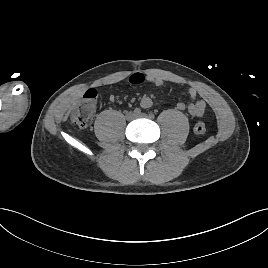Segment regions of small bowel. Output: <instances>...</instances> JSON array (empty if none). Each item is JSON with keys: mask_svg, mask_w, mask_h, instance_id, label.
Listing matches in <instances>:
<instances>
[{"mask_svg": "<svg viewBox=\"0 0 268 268\" xmlns=\"http://www.w3.org/2000/svg\"><path fill=\"white\" fill-rule=\"evenodd\" d=\"M128 82L131 84H141L143 82H149L155 88H159V87L163 86L164 79L159 77V76H156V75L143 74V73L137 72V73L132 74L128 78ZM188 96L192 100V102L188 105H186L183 102H179V103H177L176 108L178 110L187 109L188 113L192 117H196V118L202 117L205 110H206V102L202 99L196 100L197 96H198V91L194 87H191L188 89ZM110 100L112 102H116L118 100V96H111ZM140 105L144 109H148L153 105V101H152L151 97L144 96L141 99Z\"/></svg>", "mask_w": 268, "mask_h": 268, "instance_id": "small-bowel-1", "label": "small bowel"}]
</instances>
